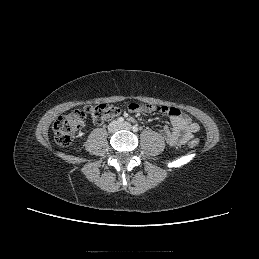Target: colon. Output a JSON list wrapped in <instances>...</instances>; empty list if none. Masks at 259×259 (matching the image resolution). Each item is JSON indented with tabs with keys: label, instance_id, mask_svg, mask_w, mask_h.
Wrapping results in <instances>:
<instances>
[{
	"label": "colon",
	"instance_id": "5ec220e1",
	"mask_svg": "<svg viewBox=\"0 0 259 259\" xmlns=\"http://www.w3.org/2000/svg\"><path fill=\"white\" fill-rule=\"evenodd\" d=\"M120 112L121 110L117 106L98 104L86 106L84 110L76 109L61 115L53 124L55 141L61 146L70 145L75 140L78 131L84 126L87 114L95 124H101L118 116ZM188 145L190 148H195L199 145V140L194 138L190 140Z\"/></svg>",
	"mask_w": 259,
	"mask_h": 259
}]
</instances>
